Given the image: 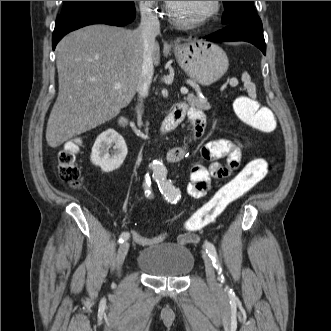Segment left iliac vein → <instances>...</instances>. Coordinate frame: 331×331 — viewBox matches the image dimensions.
<instances>
[{
  "label": "left iliac vein",
  "instance_id": "1",
  "mask_svg": "<svg viewBox=\"0 0 331 331\" xmlns=\"http://www.w3.org/2000/svg\"><path fill=\"white\" fill-rule=\"evenodd\" d=\"M202 257H203V260L205 263L207 282L212 289H215V288H217L218 284L216 281L212 260L209 257V255L207 253H205L204 251L202 252Z\"/></svg>",
  "mask_w": 331,
  "mask_h": 331
}]
</instances>
